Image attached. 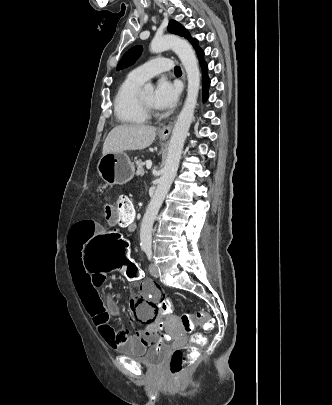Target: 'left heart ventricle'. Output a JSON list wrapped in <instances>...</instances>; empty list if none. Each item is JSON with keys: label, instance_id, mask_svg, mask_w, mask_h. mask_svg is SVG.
I'll use <instances>...</instances> for the list:
<instances>
[{"label": "left heart ventricle", "instance_id": "left-heart-ventricle-1", "mask_svg": "<svg viewBox=\"0 0 332 405\" xmlns=\"http://www.w3.org/2000/svg\"><path fill=\"white\" fill-rule=\"evenodd\" d=\"M141 98L143 99V101H144L146 104H148V105L154 107V93H153V92H148V93H146V94H143V95L141 96Z\"/></svg>", "mask_w": 332, "mask_h": 405}]
</instances>
